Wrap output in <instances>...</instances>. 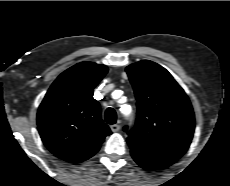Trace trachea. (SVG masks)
I'll list each match as a JSON object with an SVG mask.
<instances>
[{"mask_svg": "<svg viewBox=\"0 0 230 186\" xmlns=\"http://www.w3.org/2000/svg\"><path fill=\"white\" fill-rule=\"evenodd\" d=\"M117 120V115L114 109L107 108L105 112V121L108 124H115Z\"/></svg>", "mask_w": 230, "mask_h": 186, "instance_id": "3493384b", "label": "trachea"}]
</instances>
